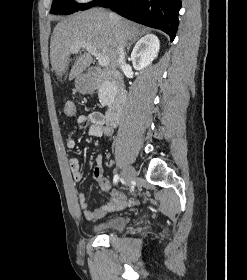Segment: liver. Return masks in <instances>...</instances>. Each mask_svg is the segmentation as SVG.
I'll list each match as a JSON object with an SVG mask.
<instances>
[{
  "label": "liver",
  "mask_w": 247,
  "mask_h": 280,
  "mask_svg": "<svg viewBox=\"0 0 247 280\" xmlns=\"http://www.w3.org/2000/svg\"><path fill=\"white\" fill-rule=\"evenodd\" d=\"M110 14L103 9L92 8L57 23L50 41V61L58 79L66 73L72 61L71 55L76 56L69 80L78 77L92 63V55L86 49L80 48L83 53L80 49L70 50L77 44L91 45L98 53L108 56L110 69H116L119 46L136 40L142 32L135 23Z\"/></svg>",
  "instance_id": "liver-1"
}]
</instances>
